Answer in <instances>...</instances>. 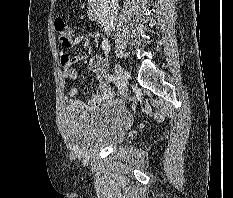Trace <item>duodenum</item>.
<instances>
[{
  "label": "duodenum",
  "instance_id": "duodenum-1",
  "mask_svg": "<svg viewBox=\"0 0 233 198\" xmlns=\"http://www.w3.org/2000/svg\"><path fill=\"white\" fill-rule=\"evenodd\" d=\"M88 17L92 21L102 22L101 5L99 0H93L88 7Z\"/></svg>",
  "mask_w": 233,
  "mask_h": 198
}]
</instances>
